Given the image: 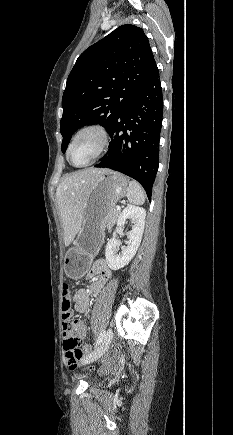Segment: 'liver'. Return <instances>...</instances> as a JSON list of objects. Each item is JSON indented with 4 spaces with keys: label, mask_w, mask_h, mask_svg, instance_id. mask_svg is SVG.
I'll use <instances>...</instances> for the list:
<instances>
[{
    "label": "liver",
    "mask_w": 233,
    "mask_h": 435,
    "mask_svg": "<svg viewBox=\"0 0 233 435\" xmlns=\"http://www.w3.org/2000/svg\"><path fill=\"white\" fill-rule=\"evenodd\" d=\"M107 169L87 168L76 171L59 184L57 204L64 230V244L69 246L81 228L83 211L96 179Z\"/></svg>",
    "instance_id": "obj_1"
}]
</instances>
